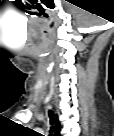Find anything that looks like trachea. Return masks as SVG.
<instances>
[{"label": "trachea", "mask_w": 114, "mask_h": 136, "mask_svg": "<svg viewBox=\"0 0 114 136\" xmlns=\"http://www.w3.org/2000/svg\"><path fill=\"white\" fill-rule=\"evenodd\" d=\"M53 112L51 110H49V118H50V124H53ZM52 131V127H51V130Z\"/></svg>", "instance_id": "1"}]
</instances>
